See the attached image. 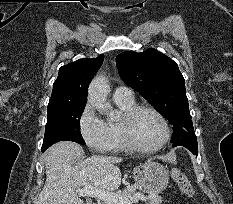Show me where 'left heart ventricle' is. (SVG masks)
I'll use <instances>...</instances> for the list:
<instances>
[{
	"instance_id": "left-heart-ventricle-1",
	"label": "left heart ventricle",
	"mask_w": 233,
	"mask_h": 204,
	"mask_svg": "<svg viewBox=\"0 0 233 204\" xmlns=\"http://www.w3.org/2000/svg\"><path fill=\"white\" fill-rule=\"evenodd\" d=\"M132 130L136 143L145 148L157 146L164 138L162 123L148 111H142L136 116Z\"/></svg>"
}]
</instances>
